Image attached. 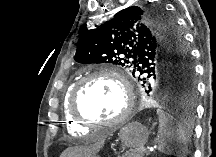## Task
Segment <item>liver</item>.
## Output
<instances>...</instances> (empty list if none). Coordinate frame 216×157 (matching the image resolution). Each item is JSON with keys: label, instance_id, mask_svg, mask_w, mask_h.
<instances>
[{"label": "liver", "instance_id": "obj_1", "mask_svg": "<svg viewBox=\"0 0 216 157\" xmlns=\"http://www.w3.org/2000/svg\"><path fill=\"white\" fill-rule=\"evenodd\" d=\"M104 142V137H96L92 145L69 148L61 154V157H90L96 155L103 147Z\"/></svg>", "mask_w": 216, "mask_h": 157}]
</instances>
